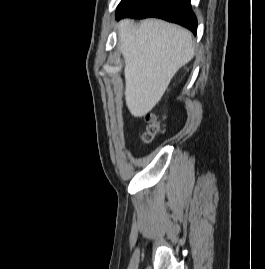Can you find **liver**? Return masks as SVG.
Instances as JSON below:
<instances>
[{
	"instance_id": "1",
	"label": "liver",
	"mask_w": 265,
	"mask_h": 269,
	"mask_svg": "<svg viewBox=\"0 0 265 269\" xmlns=\"http://www.w3.org/2000/svg\"><path fill=\"white\" fill-rule=\"evenodd\" d=\"M118 33L125 61L126 105L134 117H142L159 102L177 71L193 58L192 34L153 18L139 25L123 19Z\"/></svg>"
}]
</instances>
